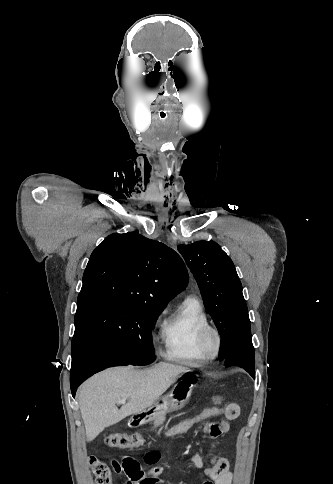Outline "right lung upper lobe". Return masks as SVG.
<instances>
[{
  "instance_id": "cb5924a9",
  "label": "right lung upper lobe",
  "mask_w": 333,
  "mask_h": 484,
  "mask_svg": "<svg viewBox=\"0 0 333 484\" xmlns=\"http://www.w3.org/2000/svg\"><path fill=\"white\" fill-rule=\"evenodd\" d=\"M187 284L177 253L137 232L111 234L92 252L77 305L104 301L163 310Z\"/></svg>"
}]
</instances>
